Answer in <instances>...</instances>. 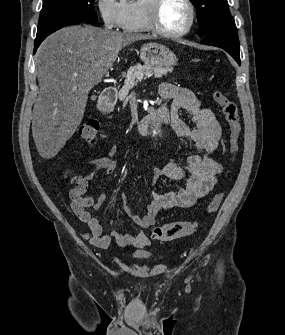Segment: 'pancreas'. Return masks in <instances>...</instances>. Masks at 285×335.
<instances>
[{
  "label": "pancreas",
  "instance_id": "pancreas-1",
  "mask_svg": "<svg viewBox=\"0 0 285 335\" xmlns=\"http://www.w3.org/2000/svg\"><path fill=\"white\" fill-rule=\"evenodd\" d=\"M132 71L126 72V77H124L123 82L125 86H120V93H130L131 90L136 88L135 84H142L143 79L146 81H151L152 76L158 78L160 81L165 79L164 74L170 72L173 68H162V66H133Z\"/></svg>",
  "mask_w": 285,
  "mask_h": 335
}]
</instances>
